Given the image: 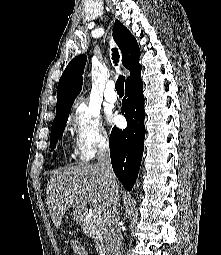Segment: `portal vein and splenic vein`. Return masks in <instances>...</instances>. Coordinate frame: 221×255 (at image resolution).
I'll use <instances>...</instances> for the list:
<instances>
[{"instance_id": "18ae733b", "label": "portal vein and splenic vein", "mask_w": 221, "mask_h": 255, "mask_svg": "<svg viewBox=\"0 0 221 255\" xmlns=\"http://www.w3.org/2000/svg\"><path fill=\"white\" fill-rule=\"evenodd\" d=\"M93 211H94V212H97V213H100V212H101V207H100V205H95Z\"/></svg>"}]
</instances>
